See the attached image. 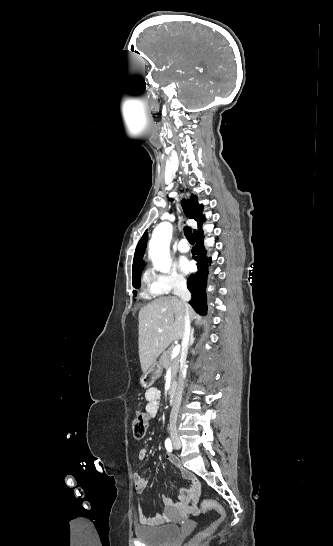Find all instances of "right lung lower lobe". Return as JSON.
Instances as JSON below:
<instances>
[{"label":"right lung lower lobe","mask_w":333,"mask_h":546,"mask_svg":"<svg viewBox=\"0 0 333 546\" xmlns=\"http://www.w3.org/2000/svg\"><path fill=\"white\" fill-rule=\"evenodd\" d=\"M196 246L192 250L193 259L197 262L198 271L187 280V288L192 294V298L189 304L200 315H206L207 313V275L208 265L211 263V258H206V251L203 245L204 235L203 231L197 233L195 236Z\"/></svg>","instance_id":"98d812e1"}]
</instances>
